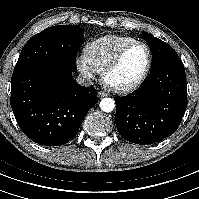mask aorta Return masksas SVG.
Listing matches in <instances>:
<instances>
[{"label": "aorta", "mask_w": 199, "mask_h": 199, "mask_svg": "<svg viewBox=\"0 0 199 199\" xmlns=\"http://www.w3.org/2000/svg\"><path fill=\"white\" fill-rule=\"evenodd\" d=\"M115 108V102L112 98H103L100 102V109L104 112H111Z\"/></svg>", "instance_id": "obj_1"}]
</instances>
